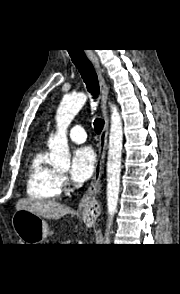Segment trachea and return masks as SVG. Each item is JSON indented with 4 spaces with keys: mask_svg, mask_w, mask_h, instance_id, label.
Here are the masks:
<instances>
[{
    "mask_svg": "<svg viewBox=\"0 0 180 294\" xmlns=\"http://www.w3.org/2000/svg\"><path fill=\"white\" fill-rule=\"evenodd\" d=\"M68 53L79 70L82 78L86 84L89 93L96 99L99 94V84L95 69L89 59L86 57L82 49L68 50ZM104 127V120L96 118L94 120V130L97 134H100Z\"/></svg>",
    "mask_w": 180,
    "mask_h": 294,
    "instance_id": "trachea-1",
    "label": "trachea"
}]
</instances>
